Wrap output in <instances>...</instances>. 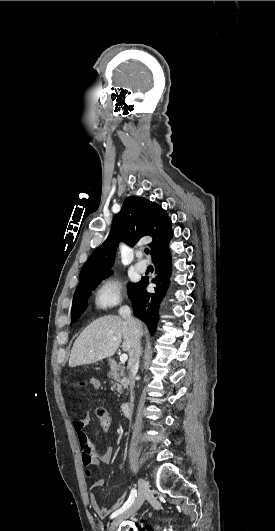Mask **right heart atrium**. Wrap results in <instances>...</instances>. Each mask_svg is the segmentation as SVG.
<instances>
[{
	"label": "right heart atrium",
	"instance_id": "d8ad5b80",
	"mask_svg": "<svg viewBox=\"0 0 275 531\" xmlns=\"http://www.w3.org/2000/svg\"><path fill=\"white\" fill-rule=\"evenodd\" d=\"M120 299V283L117 279L103 280L96 290V303L99 307L114 306Z\"/></svg>",
	"mask_w": 275,
	"mask_h": 531
}]
</instances>
